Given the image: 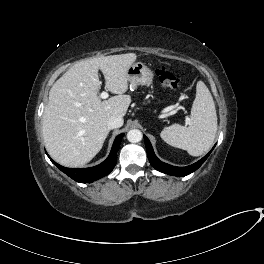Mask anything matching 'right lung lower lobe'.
I'll use <instances>...</instances> for the list:
<instances>
[{
  "mask_svg": "<svg viewBox=\"0 0 264 264\" xmlns=\"http://www.w3.org/2000/svg\"><path fill=\"white\" fill-rule=\"evenodd\" d=\"M124 134L116 137L111 152L108 158L101 164L91 168H66L55 163L48 155L52 163H54L62 172L67 174L73 180L79 183H91L108 175L114 168L117 162V152Z\"/></svg>",
  "mask_w": 264,
  "mask_h": 264,
  "instance_id": "1",
  "label": "right lung lower lobe"
}]
</instances>
